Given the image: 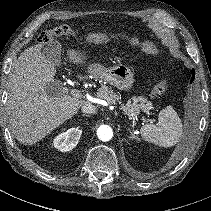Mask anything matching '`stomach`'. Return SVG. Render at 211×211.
I'll list each match as a JSON object with an SVG mask.
<instances>
[{
  "mask_svg": "<svg viewBox=\"0 0 211 211\" xmlns=\"http://www.w3.org/2000/svg\"><path fill=\"white\" fill-rule=\"evenodd\" d=\"M92 73L96 78L103 79L120 90L129 91L134 83L131 70L124 64L106 68L101 64H92Z\"/></svg>",
  "mask_w": 211,
  "mask_h": 211,
  "instance_id": "obj_1",
  "label": "stomach"
}]
</instances>
